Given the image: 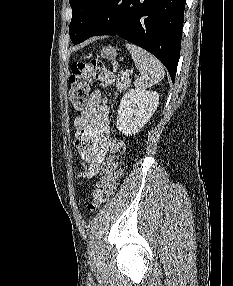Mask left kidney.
<instances>
[{"instance_id": "obj_1", "label": "left kidney", "mask_w": 233, "mask_h": 286, "mask_svg": "<svg viewBox=\"0 0 233 286\" xmlns=\"http://www.w3.org/2000/svg\"><path fill=\"white\" fill-rule=\"evenodd\" d=\"M158 104L156 91L129 90L123 95L117 112L118 130L126 136L136 134L150 120Z\"/></svg>"}]
</instances>
